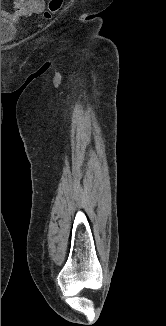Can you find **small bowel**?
I'll use <instances>...</instances> for the list:
<instances>
[{"mask_svg":"<svg viewBox=\"0 0 166 326\" xmlns=\"http://www.w3.org/2000/svg\"><path fill=\"white\" fill-rule=\"evenodd\" d=\"M4 0H1L3 2ZM45 0H13V11H1V16L11 20H18L30 14H38L45 9Z\"/></svg>","mask_w":166,"mask_h":326,"instance_id":"obj_1","label":"small bowel"}]
</instances>
